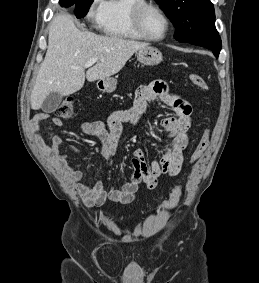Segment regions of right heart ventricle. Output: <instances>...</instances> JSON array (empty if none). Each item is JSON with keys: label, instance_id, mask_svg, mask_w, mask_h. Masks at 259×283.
<instances>
[{"label": "right heart ventricle", "instance_id": "e07e8e85", "mask_svg": "<svg viewBox=\"0 0 259 283\" xmlns=\"http://www.w3.org/2000/svg\"><path fill=\"white\" fill-rule=\"evenodd\" d=\"M145 0H107L102 19L101 31L119 39H143L134 27L132 9Z\"/></svg>", "mask_w": 259, "mask_h": 283}]
</instances>
